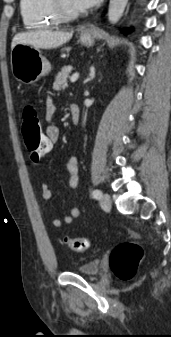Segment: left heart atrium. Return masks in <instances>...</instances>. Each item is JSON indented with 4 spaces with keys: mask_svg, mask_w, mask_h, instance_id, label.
<instances>
[{
    "mask_svg": "<svg viewBox=\"0 0 171 337\" xmlns=\"http://www.w3.org/2000/svg\"><path fill=\"white\" fill-rule=\"evenodd\" d=\"M73 4L80 9H87L97 5L101 0H72Z\"/></svg>",
    "mask_w": 171,
    "mask_h": 337,
    "instance_id": "obj_1",
    "label": "left heart atrium"
}]
</instances>
